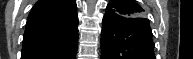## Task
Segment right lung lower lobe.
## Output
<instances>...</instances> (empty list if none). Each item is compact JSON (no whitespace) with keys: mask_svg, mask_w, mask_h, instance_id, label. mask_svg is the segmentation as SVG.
I'll list each match as a JSON object with an SVG mask.
<instances>
[{"mask_svg":"<svg viewBox=\"0 0 193 59\" xmlns=\"http://www.w3.org/2000/svg\"><path fill=\"white\" fill-rule=\"evenodd\" d=\"M78 34L49 51L21 53V59H75Z\"/></svg>","mask_w":193,"mask_h":59,"instance_id":"obj_1","label":"right lung lower lobe"}]
</instances>
